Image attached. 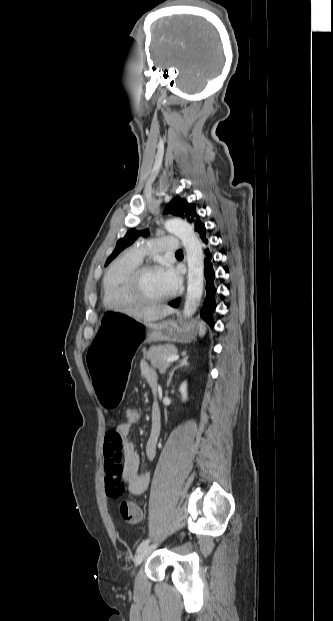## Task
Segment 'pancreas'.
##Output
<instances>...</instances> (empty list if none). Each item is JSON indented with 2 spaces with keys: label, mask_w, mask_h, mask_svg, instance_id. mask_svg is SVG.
Listing matches in <instances>:
<instances>
[{
  "label": "pancreas",
  "mask_w": 333,
  "mask_h": 621,
  "mask_svg": "<svg viewBox=\"0 0 333 621\" xmlns=\"http://www.w3.org/2000/svg\"><path fill=\"white\" fill-rule=\"evenodd\" d=\"M142 352L153 367L158 368L160 372H165L171 363L165 362L164 360L176 354L177 350L173 345H153L149 350L143 348Z\"/></svg>",
  "instance_id": "pancreas-1"
}]
</instances>
